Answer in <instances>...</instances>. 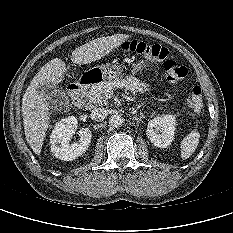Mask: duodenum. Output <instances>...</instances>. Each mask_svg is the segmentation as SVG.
I'll use <instances>...</instances> for the list:
<instances>
[{
    "mask_svg": "<svg viewBox=\"0 0 233 233\" xmlns=\"http://www.w3.org/2000/svg\"><path fill=\"white\" fill-rule=\"evenodd\" d=\"M94 81L92 76H83L77 82H74L68 86V94L76 100L82 94L84 88Z\"/></svg>",
    "mask_w": 233,
    "mask_h": 233,
    "instance_id": "410a0bca",
    "label": "duodenum"
}]
</instances>
